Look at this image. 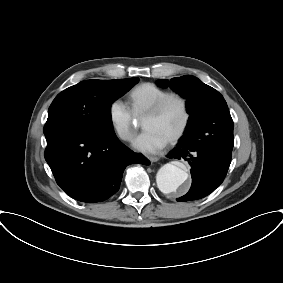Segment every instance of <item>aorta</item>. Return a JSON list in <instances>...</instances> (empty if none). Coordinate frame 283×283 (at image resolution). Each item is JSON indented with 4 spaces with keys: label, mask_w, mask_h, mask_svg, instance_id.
<instances>
[{
    "label": "aorta",
    "mask_w": 283,
    "mask_h": 283,
    "mask_svg": "<svg viewBox=\"0 0 283 283\" xmlns=\"http://www.w3.org/2000/svg\"><path fill=\"white\" fill-rule=\"evenodd\" d=\"M187 179V168H181L172 163L163 165L156 176L157 186L165 194L179 193Z\"/></svg>",
    "instance_id": "1"
}]
</instances>
